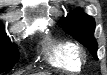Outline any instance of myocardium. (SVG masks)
Masks as SVG:
<instances>
[{
  "label": "myocardium",
  "instance_id": "myocardium-1",
  "mask_svg": "<svg viewBox=\"0 0 107 75\" xmlns=\"http://www.w3.org/2000/svg\"><path fill=\"white\" fill-rule=\"evenodd\" d=\"M77 53H78V57H79V59H80V58H83V57L85 56L83 50H78Z\"/></svg>",
  "mask_w": 107,
  "mask_h": 75
}]
</instances>
